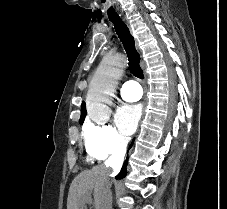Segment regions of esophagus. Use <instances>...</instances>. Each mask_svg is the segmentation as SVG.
<instances>
[{
    "instance_id": "1",
    "label": "esophagus",
    "mask_w": 227,
    "mask_h": 209,
    "mask_svg": "<svg viewBox=\"0 0 227 209\" xmlns=\"http://www.w3.org/2000/svg\"><path fill=\"white\" fill-rule=\"evenodd\" d=\"M120 18L124 20V22L126 23V25L130 28V25H129V15L128 14H121L120 15ZM136 48H138V43L136 42Z\"/></svg>"
}]
</instances>
